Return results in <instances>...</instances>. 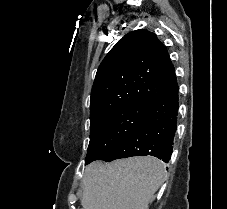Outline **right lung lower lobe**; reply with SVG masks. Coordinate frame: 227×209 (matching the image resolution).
<instances>
[{"mask_svg":"<svg viewBox=\"0 0 227 209\" xmlns=\"http://www.w3.org/2000/svg\"><path fill=\"white\" fill-rule=\"evenodd\" d=\"M174 89L153 100L141 124L101 160L109 162L132 156H155L169 162L176 131L178 90L173 65L166 70Z\"/></svg>","mask_w":227,"mask_h":209,"instance_id":"obj_1","label":"right lung lower lobe"}]
</instances>
